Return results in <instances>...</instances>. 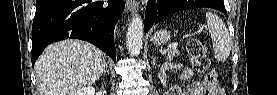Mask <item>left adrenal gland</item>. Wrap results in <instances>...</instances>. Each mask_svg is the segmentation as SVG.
Instances as JSON below:
<instances>
[{"instance_id": "left-adrenal-gland-1", "label": "left adrenal gland", "mask_w": 277, "mask_h": 95, "mask_svg": "<svg viewBox=\"0 0 277 95\" xmlns=\"http://www.w3.org/2000/svg\"><path fill=\"white\" fill-rule=\"evenodd\" d=\"M152 64H153V65H156V58H153Z\"/></svg>"}]
</instances>
